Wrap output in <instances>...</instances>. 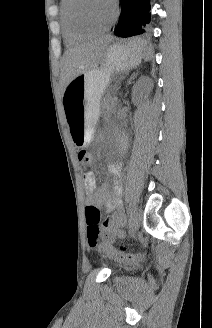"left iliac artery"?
Returning a JSON list of instances; mask_svg holds the SVG:
<instances>
[{"instance_id":"1","label":"left iliac artery","mask_w":212,"mask_h":328,"mask_svg":"<svg viewBox=\"0 0 212 328\" xmlns=\"http://www.w3.org/2000/svg\"><path fill=\"white\" fill-rule=\"evenodd\" d=\"M132 211H133V208L131 206H129V208H128V215H131L132 214Z\"/></svg>"}]
</instances>
